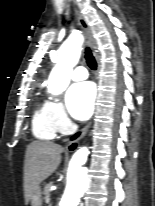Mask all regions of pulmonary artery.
Instances as JSON below:
<instances>
[{
  "label": "pulmonary artery",
  "mask_w": 155,
  "mask_h": 206,
  "mask_svg": "<svg viewBox=\"0 0 155 206\" xmlns=\"http://www.w3.org/2000/svg\"><path fill=\"white\" fill-rule=\"evenodd\" d=\"M87 77H88L87 70L82 66L75 68V70L71 74V78L75 81L84 80Z\"/></svg>",
  "instance_id": "obj_1"
}]
</instances>
